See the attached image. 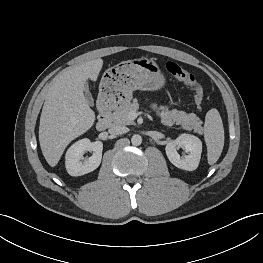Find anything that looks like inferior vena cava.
I'll use <instances>...</instances> for the list:
<instances>
[{
  "label": "inferior vena cava",
  "instance_id": "602c4592",
  "mask_svg": "<svg viewBox=\"0 0 263 263\" xmlns=\"http://www.w3.org/2000/svg\"><path fill=\"white\" fill-rule=\"evenodd\" d=\"M108 132L113 135H121L128 132V128L121 125H114L108 130Z\"/></svg>",
  "mask_w": 263,
  "mask_h": 263
}]
</instances>
